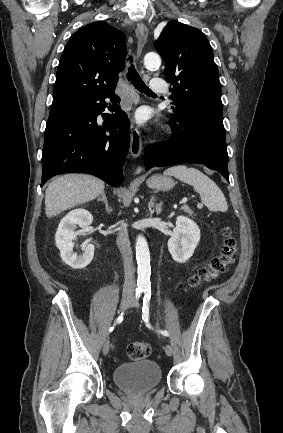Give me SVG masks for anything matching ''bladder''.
<instances>
[{"instance_id":"1","label":"bladder","mask_w":283,"mask_h":433,"mask_svg":"<svg viewBox=\"0 0 283 433\" xmlns=\"http://www.w3.org/2000/svg\"><path fill=\"white\" fill-rule=\"evenodd\" d=\"M161 377L159 366L152 360H136L118 365L113 371L114 383L132 392H146L156 388Z\"/></svg>"}]
</instances>
